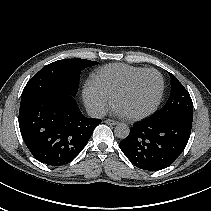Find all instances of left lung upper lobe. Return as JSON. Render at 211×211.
Masks as SVG:
<instances>
[{
	"instance_id": "obj_1",
	"label": "left lung upper lobe",
	"mask_w": 211,
	"mask_h": 211,
	"mask_svg": "<svg viewBox=\"0 0 211 211\" xmlns=\"http://www.w3.org/2000/svg\"><path fill=\"white\" fill-rule=\"evenodd\" d=\"M171 78V93L164 107L151 119L180 118L189 122L193 121V103L188 91L168 72Z\"/></svg>"
}]
</instances>
